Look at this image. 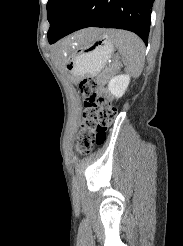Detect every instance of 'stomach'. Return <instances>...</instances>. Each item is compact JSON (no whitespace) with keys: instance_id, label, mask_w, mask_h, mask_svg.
Listing matches in <instances>:
<instances>
[{"instance_id":"obj_1","label":"stomach","mask_w":183,"mask_h":246,"mask_svg":"<svg viewBox=\"0 0 183 246\" xmlns=\"http://www.w3.org/2000/svg\"><path fill=\"white\" fill-rule=\"evenodd\" d=\"M110 30H103L97 38L71 48L67 57V73L73 80L85 75H96L111 58L114 44Z\"/></svg>"}]
</instances>
